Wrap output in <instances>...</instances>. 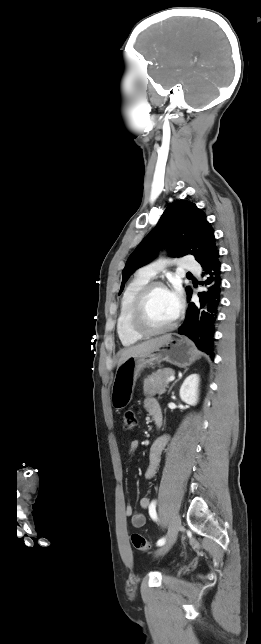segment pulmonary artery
<instances>
[{
  "instance_id": "1",
  "label": "pulmonary artery",
  "mask_w": 261,
  "mask_h": 644,
  "mask_svg": "<svg viewBox=\"0 0 261 644\" xmlns=\"http://www.w3.org/2000/svg\"><path fill=\"white\" fill-rule=\"evenodd\" d=\"M178 264L180 265L181 268L192 271V272H198L200 270V267L198 263L190 256H184L180 259H178ZM166 265V261L164 260H158L155 262H152L150 264H147L143 266L140 269V272L147 277H154L160 270H162Z\"/></svg>"
}]
</instances>
